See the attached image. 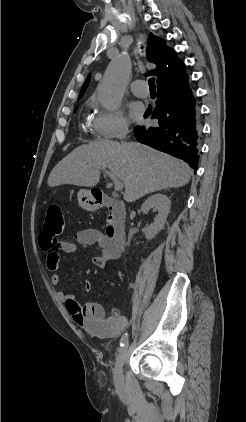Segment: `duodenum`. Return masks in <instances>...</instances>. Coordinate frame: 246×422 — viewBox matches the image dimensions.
I'll list each match as a JSON object with an SVG mask.
<instances>
[{"label":"duodenum","instance_id":"1","mask_svg":"<svg viewBox=\"0 0 246 422\" xmlns=\"http://www.w3.org/2000/svg\"><path fill=\"white\" fill-rule=\"evenodd\" d=\"M95 203L97 207L108 209L106 234L116 247L123 249L126 242L124 204L106 195L95 196Z\"/></svg>","mask_w":246,"mask_h":422}]
</instances>
